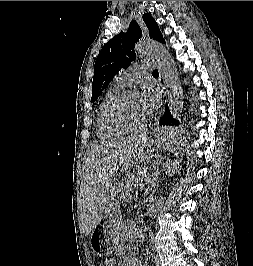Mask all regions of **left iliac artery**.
I'll use <instances>...</instances> for the list:
<instances>
[{
    "label": "left iliac artery",
    "instance_id": "1",
    "mask_svg": "<svg viewBox=\"0 0 253 266\" xmlns=\"http://www.w3.org/2000/svg\"><path fill=\"white\" fill-rule=\"evenodd\" d=\"M150 256H151V259L156 263L157 262V257L153 253Z\"/></svg>",
    "mask_w": 253,
    "mask_h": 266
}]
</instances>
